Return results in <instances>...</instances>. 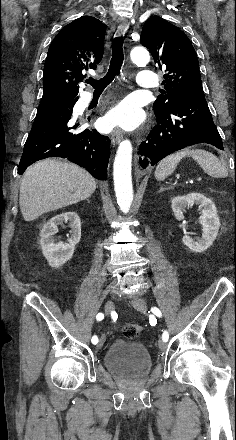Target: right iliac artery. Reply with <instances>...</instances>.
<instances>
[{
    "mask_svg": "<svg viewBox=\"0 0 236 440\" xmlns=\"http://www.w3.org/2000/svg\"><path fill=\"white\" fill-rule=\"evenodd\" d=\"M103 318H104V314L103 313H98L97 314V316H96V319L98 320V321H101V320H103ZM92 343L93 344H97L98 343V337L96 336V335H94L93 337H92Z\"/></svg>",
    "mask_w": 236,
    "mask_h": 440,
    "instance_id": "obj_1",
    "label": "right iliac artery"
}]
</instances>
